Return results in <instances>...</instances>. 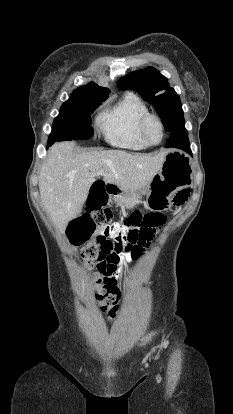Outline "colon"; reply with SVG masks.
I'll use <instances>...</instances> for the list:
<instances>
[{
    "label": "colon",
    "mask_w": 233,
    "mask_h": 414,
    "mask_svg": "<svg viewBox=\"0 0 233 414\" xmlns=\"http://www.w3.org/2000/svg\"><path fill=\"white\" fill-rule=\"evenodd\" d=\"M188 191L178 192L172 200V204L180 205L187 199ZM109 218V213L104 210L98 212H85L82 216L71 222L68 235L75 245H84L82 249V266L91 270L93 262L100 256L103 250H120L129 252L134 260L138 259L143 248L148 245L151 235L149 230L163 223L161 213H142L136 211L126 218L123 225L114 224L103 233H98L93 241L88 239L95 233L96 227L102 225ZM116 232V235H113ZM107 261V260H106ZM94 288V297L98 305L107 312L109 318L114 319L119 313L120 291L110 295L103 287L101 275L93 274L90 278ZM119 290V289H118Z\"/></svg>",
    "instance_id": "5ec220e1"
}]
</instances>
